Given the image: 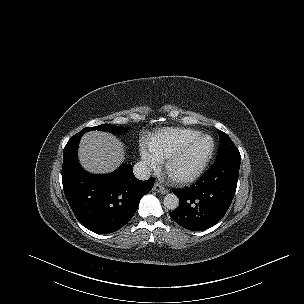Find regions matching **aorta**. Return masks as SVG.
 Listing matches in <instances>:
<instances>
[{"label":"aorta","mask_w":304,"mask_h":304,"mask_svg":"<svg viewBox=\"0 0 304 304\" xmlns=\"http://www.w3.org/2000/svg\"><path fill=\"white\" fill-rule=\"evenodd\" d=\"M164 206L169 210H175L179 206V198L175 194H167L163 199Z\"/></svg>","instance_id":"obj_1"}]
</instances>
